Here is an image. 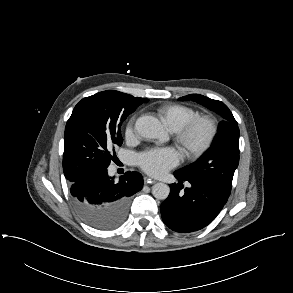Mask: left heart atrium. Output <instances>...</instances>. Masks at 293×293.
Returning a JSON list of instances; mask_svg holds the SVG:
<instances>
[{"label": "left heart atrium", "instance_id": "1", "mask_svg": "<svg viewBox=\"0 0 293 293\" xmlns=\"http://www.w3.org/2000/svg\"><path fill=\"white\" fill-rule=\"evenodd\" d=\"M179 159L174 148H153L138 157V164L149 175L159 177L176 166Z\"/></svg>", "mask_w": 293, "mask_h": 293}]
</instances>
